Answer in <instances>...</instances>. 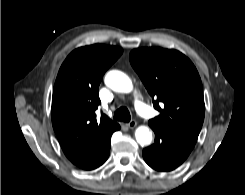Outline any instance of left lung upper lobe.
I'll return each instance as SVG.
<instances>
[{
  "label": "left lung upper lobe",
  "instance_id": "left-lung-upper-lobe-1",
  "mask_svg": "<svg viewBox=\"0 0 245 195\" xmlns=\"http://www.w3.org/2000/svg\"><path fill=\"white\" fill-rule=\"evenodd\" d=\"M130 63L148 93L156 98L155 109L161 112L149 120V126L197 140L205 105L201 79L193 63L181 52L163 48L134 49Z\"/></svg>",
  "mask_w": 245,
  "mask_h": 195
}]
</instances>
